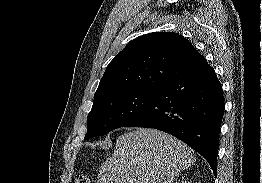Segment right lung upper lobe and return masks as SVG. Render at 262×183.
I'll list each match as a JSON object with an SVG mask.
<instances>
[{"label":"right lung upper lobe","mask_w":262,"mask_h":183,"mask_svg":"<svg viewBox=\"0 0 262 183\" xmlns=\"http://www.w3.org/2000/svg\"><path fill=\"white\" fill-rule=\"evenodd\" d=\"M205 64L206 59L179 34L149 33L130 41L109 63L95 97L126 89H159Z\"/></svg>","instance_id":"cb5924a9"}]
</instances>
